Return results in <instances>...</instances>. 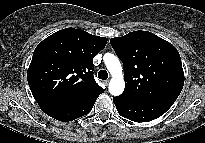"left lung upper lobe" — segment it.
Listing matches in <instances>:
<instances>
[{"instance_id": "5c2ea615", "label": "left lung upper lobe", "mask_w": 205, "mask_h": 143, "mask_svg": "<svg viewBox=\"0 0 205 143\" xmlns=\"http://www.w3.org/2000/svg\"><path fill=\"white\" fill-rule=\"evenodd\" d=\"M123 62L125 89L122 97L146 100L180 94L184 72L177 49L148 31L130 32L110 39Z\"/></svg>"}]
</instances>
